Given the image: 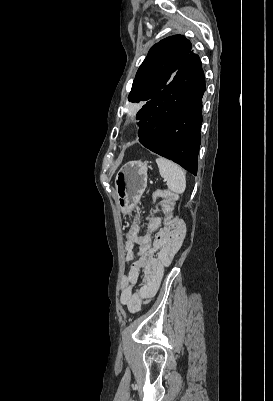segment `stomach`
<instances>
[{"instance_id": "obj_1", "label": "stomach", "mask_w": 273, "mask_h": 401, "mask_svg": "<svg viewBox=\"0 0 273 401\" xmlns=\"http://www.w3.org/2000/svg\"><path fill=\"white\" fill-rule=\"evenodd\" d=\"M147 164L130 160L118 170L115 178L116 205L122 215H131L147 186Z\"/></svg>"}]
</instances>
